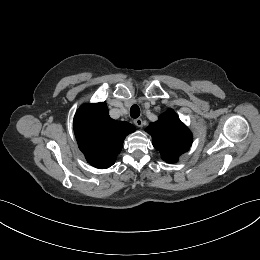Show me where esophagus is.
Masks as SVG:
<instances>
[{
	"mask_svg": "<svg viewBox=\"0 0 260 260\" xmlns=\"http://www.w3.org/2000/svg\"><path fill=\"white\" fill-rule=\"evenodd\" d=\"M133 123L137 126V127H142L143 126V120L141 118H137L133 120Z\"/></svg>",
	"mask_w": 260,
	"mask_h": 260,
	"instance_id": "1",
	"label": "esophagus"
}]
</instances>
